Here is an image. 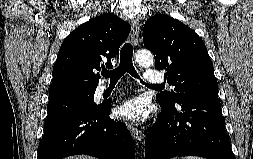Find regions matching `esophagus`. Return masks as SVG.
<instances>
[{"mask_svg":"<svg viewBox=\"0 0 253 159\" xmlns=\"http://www.w3.org/2000/svg\"><path fill=\"white\" fill-rule=\"evenodd\" d=\"M132 33H131V42L134 46L138 45L139 42V22L138 20H133L132 24ZM129 130L131 132L132 138L139 143L143 142L144 134L141 130L137 129L136 127L129 125Z\"/></svg>","mask_w":253,"mask_h":159,"instance_id":"obj_1","label":"esophagus"}]
</instances>
